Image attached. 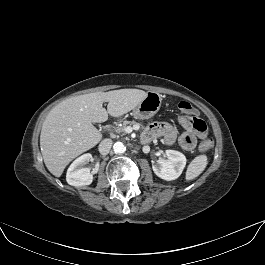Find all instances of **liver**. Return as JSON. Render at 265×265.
Returning a JSON list of instances; mask_svg holds the SVG:
<instances>
[{
    "instance_id": "liver-1",
    "label": "liver",
    "mask_w": 265,
    "mask_h": 265,
    "mask_svg": "<svg viewBox=\"0 0 265 265\" xmlns=\"http://www.w3.org/2000/svg\"><path fill=\"white\" fill-rule=\"evenodd\" d=\"M146 95L143 90L120 89L75 96L56 105L40 134L41 153L50 173L60 177L74 158L100 142L102 135L92 123L107 121L108 114L119 117L128 113ZM104 102H108L107 110Z\"/></svg>"
}]
</instances>
